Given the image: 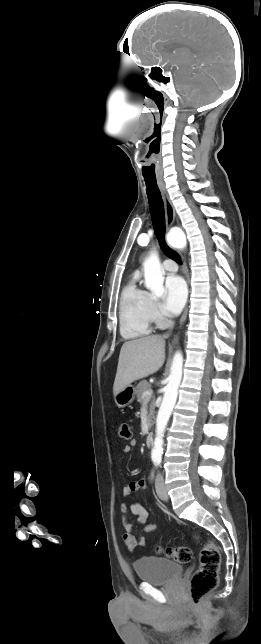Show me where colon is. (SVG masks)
Masks as SVG:
<instances>
[{
    "label": "colon",
    "mask_w": 261,
    "mask_h": 644,
    "mask_svg": "<svg viewBox=\"0 0 261 644\" xmlns=\"http://www.w3.org/2000/svg\"><path fill=\"white\" fill-rule=\"evenodd\" d=\"M119 435L122 439L129 440L132 437L131 427L124 422L119 427ZM167 557L179 563H188L191 560V550L186 546L168 547L160 549ZM221 562V555L217 545L213 541L204 544L200 552V563L190 580L189 595L194 605H199L204 597L218 584V574Z\"/></svg>",
    "instance_id": "5ec220e1"
}]
</instances>
